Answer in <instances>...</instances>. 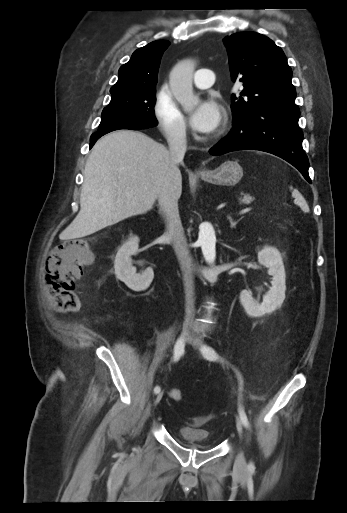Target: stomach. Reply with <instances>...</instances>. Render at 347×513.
I'll return each mask as SVG.
<instances>
[{
  "label": "stomach",
  "mask_w": 347,
  "mask_h": 513,
  "mask_svg": "<svg viewBox=\"0 0 347 513\" xmlns=\"http://www.w3.org/2000/svg\"><path fill=\"white\" fill-rule=\"evenodd\" d=\"M242 177L243 169L235 160L225 161L215 170L201 175V178L204 181L223 186H234L241 180Z\"/></svg>",
  "instance_id": "obj_1"
}]
</instances>
